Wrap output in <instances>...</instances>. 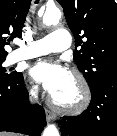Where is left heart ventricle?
Wrapping results in <instances>:
<instances>
[{"label":"left heart ventricle","mask_w":117,"mask_h":136,"mask_svg":"<svg viewBox=\"0 0 117 136\" xmlns=\"http://www.w3.org/2000/svg\"><path fill=\"white\" fill-rule=\"evenodd\" d=\"M54 96L61 102H72L76 97L75 82L73 78L70 77L68 85Z\"/></svg>","instance_id":"obj_1"}]
</instances>
